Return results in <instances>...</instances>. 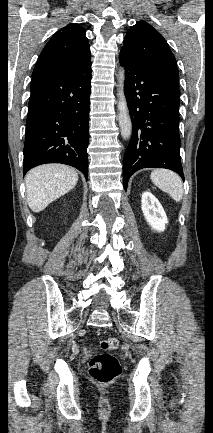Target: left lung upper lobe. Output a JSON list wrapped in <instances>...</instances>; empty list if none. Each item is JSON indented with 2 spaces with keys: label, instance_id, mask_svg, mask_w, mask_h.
<instances>
[{
  "label": "left lung upper lobe",
  "instance_id": "left-lung-upper-lobe-1",
  "mask_svg": "<svg viewBox=\"0 0 213 433\" xmlns=\"http://www.w3.org/2000/svg\"><path fill=\"white\" fill-rule=\"evenodd\" d=\"M120 52L148 72L178 85V69L173 53L163 36L144 20L128 30Z\"/></svg>",
  "mask_w": 213,
  "mask_h": 433
}]
</instances>
